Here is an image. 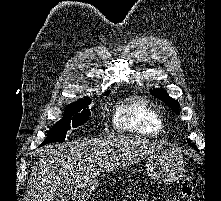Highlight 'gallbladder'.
<instances>
[{
	"mask_svg": "<svg viewBox=\"0 0 221 201\" xmlns=\"http://www.w3.org/2000/svg\"><path fill=\"white\" fill-rule=\"evenodd\" d=\"M73 196V186L70 184L59 185L54 193L56 201H68Z\"/></svg>",
	"mask_w": 221,
	"mask_h": 201,
	"instance_id": "bac80fb5",
	"label": "gallbladder"
}]
</instances>
